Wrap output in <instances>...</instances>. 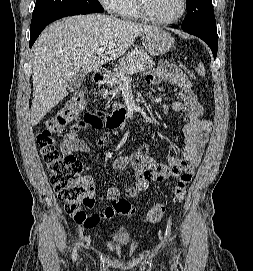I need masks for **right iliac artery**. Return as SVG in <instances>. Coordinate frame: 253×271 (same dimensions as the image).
I'll return each instance as SVG.
<instances>
[{
    "mask_svg": "<svg viewBox=\"0 0 253 271\" xmlns=\"http://www.w3.org/2000/svg\"><path fill=\"white\" fill-rule=\"evenodd\" d=\"M72 259H73V260H76V247H75L74 250H73V253H72Z\"/></svg>",
    "mask_w": 253,
    "mask_h": 271,
    "instance_id": "82829eb1",
    "label": "right iliac artery"
}]
</instances>
